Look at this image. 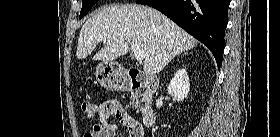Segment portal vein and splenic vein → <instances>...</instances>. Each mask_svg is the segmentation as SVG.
Segmentation results:
<instances>
[{
  "label": "portal vein and splenic vein",
  "mask_w": 280,
  "mask_h": 137,
  "mask_svg": "<svg viewBox=\"0 0 280 137\" xmlns=\"http://www.w3.org/2000/svg\"><path fill=\"white\" fill-rule=\"evenodd\" d=\"M131 50L134 53L135 59L139 62H142L143 59L145 58V53L143 50L140 48V46L137 43H131Z\"/></svg>",
  "instance_id": "portal-vein-and-splenic-vein-1"
}]
</instances>
